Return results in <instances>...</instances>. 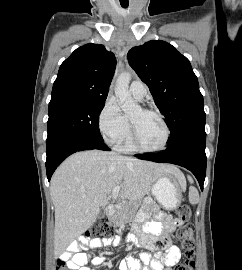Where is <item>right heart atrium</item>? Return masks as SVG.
I'll return each instance as SVG.
<instances>
[{
	"mask_svg": "<svg viewBox=\"0 0 242 270\" xmlns=\"http://www.w3.org/2000/svg\"><path fill=\"white\" fill-rule=\"evenodd\" d=\"M98 128L103 139L111 145H118L128 129L127 119L112 96L106 99L99 113Z\"/></svg>",
	"mask_w": 242,
	"mask_h": 270,
	"instance_id": "1",
	"label": "right heart atrium"
}]
</instances>
